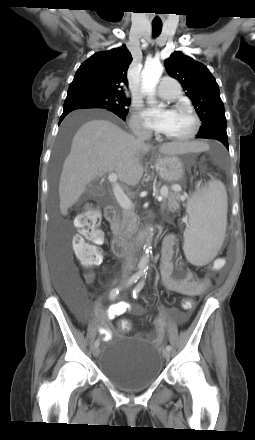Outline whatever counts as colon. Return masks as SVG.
<instances>
[{"label": "colon", "mask_w": 255, "mask_h": 440, "mask_svg": "<svg viewBox=\"0 0 255 440\" xmlns=\"http://www.w3.org/2000/svg\"><path fill=\"white\" fill-rule=\"evenodd\" d=\"M78 229V234L73 239V249L76 257L86 267H94L102 261V250L105 238L104 233L99 228L101 224V216L94 207L87 208L83 213L75 218L74 222ZM181 308L184 311L190 309L194 303L193 298H181ZM120 328L123 331L130 330L128 321H121Z\"/></svg>", "instance_id": "colon-1"}]
</instances>
